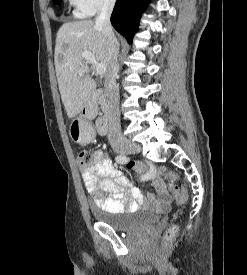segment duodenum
Instances as JSON below:
<instances>
[{
    "label": "duodenum",
    "instance_id": "obj_1",
    "mask_svg": "<svg viewBox=\"0 0 247 275\" xmlns=\"http://www.w3.org/2000/svg\"><path fill=\"white\" fill-rule=\"evenodd\" d=\"M103 96L102 91H93L84 100L83 111L87 114L89 111L94 110ZM110 121V109L106 107L105 112L102 116L96 120V127L99 134H105Z\"/></svg>",
    "mask_w": 247,
    "mask_h": 275
}]
</instances>
